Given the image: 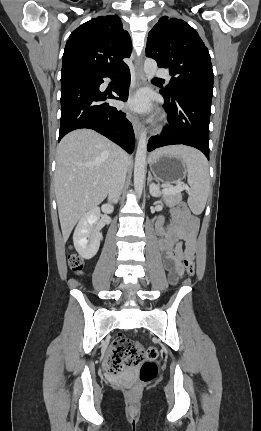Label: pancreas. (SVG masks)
I'll list each match as a JSON object with an SVG mask.
<instances>
[{"instance_id":"obj_1","label":"pancreas","mask_w":261,"mask_h":431,"mask_svg":"<svg viewBox=\"0 0 261 431\" xmlns=\"http://www.w3.org/2000/svg\"><path fill=\"white\" fill-rule=\"evenodd\" d=\"M164 201L170 207L177 205L182 201L181 192L164 193Z\"/></svg>"}]
</instances>
